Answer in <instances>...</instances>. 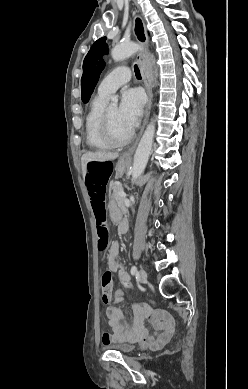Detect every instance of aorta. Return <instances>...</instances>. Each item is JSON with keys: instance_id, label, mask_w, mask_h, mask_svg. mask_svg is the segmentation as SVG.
Listing matches in <instances>:
<instances>
[{"instance_id": "obj_1", "label": "aorta", "mask_w": 248, "mask_h": 389, "mask_svg": "<svg viewBox=\"0 0 248 389\" xmlns=\"http://www.w3.org/2000/svg\"><path fill=\"white\" fill-rule=\"evenodd\" d=\"M142 50V47L133 42L129 43H122L120 45L115 46L111 51V56L114 61L119 62L122 61L132 54H134L137 51ZM118 103V98L116 96H113L111 98V107H116ZM155 134V122L152 120L146 130L144 131V134L139 142V145L136 149L134 159H133V167H132V181L137 180L141 174L143 173L151 150L153 145V139Z\"/></svg>"}]
</instances>
